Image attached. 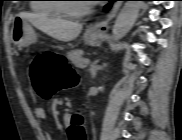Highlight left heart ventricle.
Masks as SVG:
<instances>
[{
  "mask_svg": "<svg viewBox=\"0 0 182 140\" xmlns=\"http://www.w3.org/2000/svg\"><path fill=\"white\" fill-rule=\"evenodd\" d=\"M67 5L72 10H79L82 9L86 4L83 3V1H69Z\"/></svg>",
  "mask_w": 182,
  "mask_h": 140,
  "instance_id": "1",
  "label": "left heart ventricle"
}]
</instances>
